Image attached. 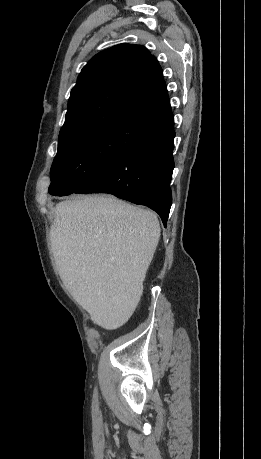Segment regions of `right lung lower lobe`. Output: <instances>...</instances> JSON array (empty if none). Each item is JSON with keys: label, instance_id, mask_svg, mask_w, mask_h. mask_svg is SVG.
I'll return each instance as SVG.
<instances>
[{"label": "right lung lower lobe", "instance_id": "right-lung-lower-lobe-1", "mask_svg": "<svg viewBox=\"0 0 261 459\" xmlns=\"http://www.w3.org/2000/svg\"><path fill=\"white\" fill-rule=\"evenodd\" d=\"M174 137L171 114L152 125L119 158L73 193H109L148 206L159 214L166 227L172 204Z\"/></svg>", "mask_w": 261, "mask_h": 459}]
</instances>
